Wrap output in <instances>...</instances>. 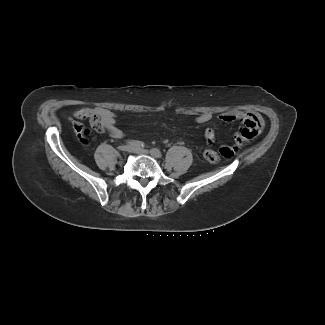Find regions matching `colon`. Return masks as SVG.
I'll list each match as a JSON object with an SVG mask.
<instances>
[{"instance_id": "1", "label": "colon", "mask_w": 325, "mask_h": 325, "mask_svg": "<svg viewBox=\"0 0 325 325\" xmlns=\"http://www.w3.org/2000/svg\"><path fill=\"white\" fill-rule=\"evenodd\" d=\"M203 156H204L205 160L211 164H216L219 161V156H218L217 152H215L214 150H211V149H206L203 153Z\"/></svg>"}]
</instances>
